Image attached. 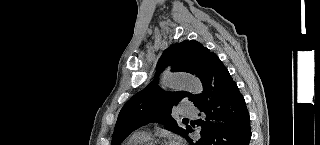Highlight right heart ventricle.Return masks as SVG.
<instances>
[{
  "label": "right heart ventricle",
  "instance_id": "obj_1",
  "mask_svg": "<svg viewBox=\"0 0 320 145\" xmlns=\"http://www.w3.org/2000/svg\"><path fill=\"white\" fill-rule=\"evenodd\" d=\"M148 141V135L140 132H135L125 140L123 145H144Z\"/></svg>",
  "mask_w": 320,
  "mask_h": 145
}]
</instances>
